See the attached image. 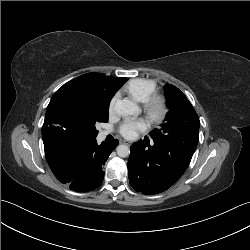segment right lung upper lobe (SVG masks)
Returning <instances> with one entry per match:
<instances>
[{"instance_id":"right-lung-upper-lobe-1","label":"right lung upper lobe","mask_w":250,"mask_h":250,"mask_svg":"<svg viewBox=\"0 0 250 250\" xmlns=\"http://www.w3.org/2000/svg\"><path fill=\"white\" fill-rule=\"evenodd\" d=\"M84 76L92 77L99 81L106 90L115 93L119 87L127 80V78H117L111 76H105L98 73H88ZM42 138L44 142V150L46 159H50L55 156L60 150H62L70 141L60 140L54 138L49 132V126L47 122V117L45 116V122L42 127Z\"/></svg>"}]
</instances>
